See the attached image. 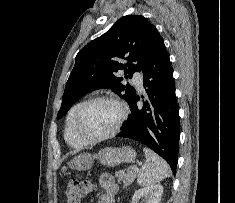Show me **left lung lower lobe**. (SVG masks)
Returning <instances> with one entry per match:
<instances>
[{"label": "left lung lower lobe", "instance_id": "obj_1", "mask_svg": "<svg viewBox=\"0 0 235 203\" xmlns=\"http://www.w3.org/2000/svg\"><path fill=\"white\" fill-rule=\"evenodd\" d=\"M148 99L138 108L135 97L129 103L131 115L117 137L142 142L164 158L176 173L180 122L169 55L161 38L142 68Z\"/></svg>", "mask_w": 235, "mask_h": 203}]
</instances>
